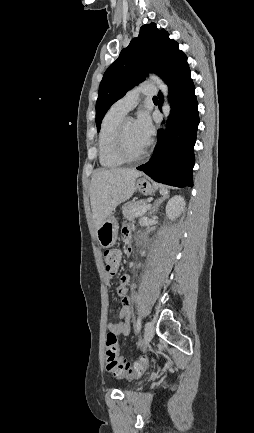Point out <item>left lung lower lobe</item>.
<instances>
[{"label":"left lung lower lobe","instance_id":"0a47b994","mask_svg":"<svg viewBox=\"0 0 254 433\" xmlns=\"http://www.w3.org/2000/svg\"><path fill=\"white\" fill-rule=\"evenodd\" d=\"M165 81L169 87L171 113L165 131H158V143L151 159L137 167L153 180L180 188L193 186L194 145L199 124L198 103L187 57L183 54ZM162 94L159 93V107Z\"/></svg>","mask_w":254,"mask_h":433}]
</instances>
